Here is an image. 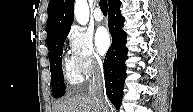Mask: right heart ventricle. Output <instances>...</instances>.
<instances>
[{"label":"right heart ventricle","mask_w":193,"mask_h":112,"mask_svg":"<svg viewBox=\"0 0 193 112\" xmlns=\"http://www.w3.org/2000/svg\"><path fill=\"white\" fill-rule=\"evenodd\" d=\"M63 72L65 81L72 86L78 85L82 81V76L77 72L71 60L64 59Z\"/></svg>","instance_id":"obj_1"}]
</instances>
